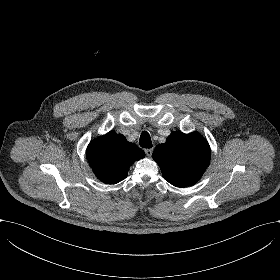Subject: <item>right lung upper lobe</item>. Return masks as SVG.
Returning a JSON list of instances; mask_svg holds the SVG:
<instances>
[{"label": "right lung upper lobe", "mask_w": 280, "mask_h": 280, "mask_svg": "<svg viewBox=\"0 0 280 280\" xmlns=\"http://www.w3.org/2000/svg\"><path fill=\"white\" fill-rule=\"evenodd\" d=\"M87 159L96 177L104 183L116 184L127 177L129 167L145 156L136 144L110 131L94 139L87 147Z\"/></svg>", "instance_id": "obj_1"}]
</instances>
